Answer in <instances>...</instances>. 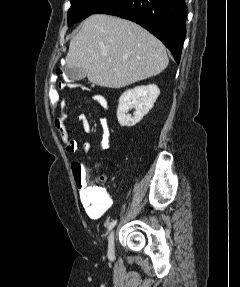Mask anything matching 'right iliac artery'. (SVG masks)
Wrapping results in <instances>:
<instances>
[{
    "label": "right iliac artery",
    "instance_id": "obj_1",
    "mask_svg": "<svg viewBox=\"0 0 240 287\" xmlns=\"http://www.w3.org/2000/svg\"><path fill=\"white\" fill-rule=\"evenodd\" d=\"M116 223H117V220H113V221L110 223V225H109V227H108V232L112 230V228L116 225Z\"/></svg>",
    "mask_w": 240,
    "mask_h": 287
}]
</instances>
